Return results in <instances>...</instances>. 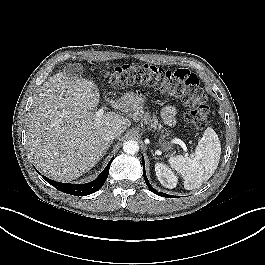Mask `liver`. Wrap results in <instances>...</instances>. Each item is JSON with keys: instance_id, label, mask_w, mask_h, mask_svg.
I'll list each match as a JSON object with an SVG mask.
<instances>
[{"instance_id": "obj_1", "label": "liver", "mask_w": 265, "mask_h": 265, "mask_svg": "<svg viewBox=\"0 0 265 265\" xmlns=\"http://www.w3.org/2000/svg\"><path fill=\"white\" fill-rule=\"evenodd\" d=\"M97 85L66 71L53 75L39 91L29 114L27 144L36 166L54 180L69 182L92 169L110 147L108 131L120 136L131 122L115 112L96 120ZM118 111L134 110L131 100L106 98Z\"/></svg>"}]
</instances>
